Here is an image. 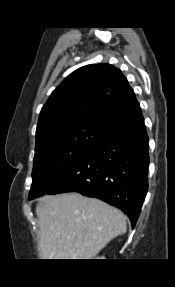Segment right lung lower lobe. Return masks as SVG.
Wrapping results in <instances>:
<instances>
[{
    "instance_id": "right-lung-lower-lobe-1",
    "label": "right lung lower lobe",
    "mask_w": 175,
    "mask_h": 287,
    "mask_svg": "<svg viewBox=\"0 0 175 287\" xmlns=\"http://www.w3.org/2000/svg\"><path fill=\"white\" fill-rule=\"evenodd\" d=\"M149 139L141 110L113 125L44 194L78 192L121 209L135 225L148 190Z\"/></svg>"
}]
</instances>
